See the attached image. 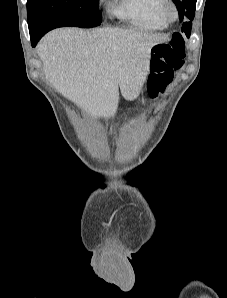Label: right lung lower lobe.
Listing matches in <instances>:
<instances>
[{"label":"right lung lower lobe","instance_id":"right-lung-lower-lobe-1","mask_svg":"<svg viewBox=\"0 0 227 298\" xmlns=\"http://www.w3.org/2000/svg\"><path fill=\"white\" fill-rule=\"evenodd\" d=\"M48 31H42V32H36L34 34H30L31 37V44L33 47L36 46L37 41H39V39Z\"/></svg>","mask_w":227,"mask_h":298}]
</instances>
